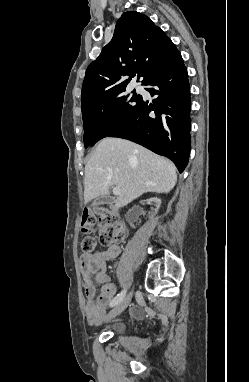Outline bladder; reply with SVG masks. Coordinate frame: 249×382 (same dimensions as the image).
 <instances>
[{
  "label": "bladder",
  "mask_w": 249,
  "mask_h": 382,
  "mask_svg": "<svg viewBox=\"0 0 249 382\" xmlns=\"http://www.w3.org/2000/svg\"><path fill=\"white\" fill-rule=\"evenodd\" d=\"M125 330H126V326L122 322L114 323L111 326V331L114 334H123L125 332Z\"/></svg>",
  "instance_id": "1"
}]
</instances>
